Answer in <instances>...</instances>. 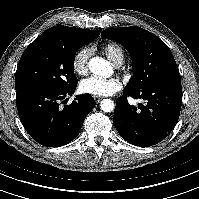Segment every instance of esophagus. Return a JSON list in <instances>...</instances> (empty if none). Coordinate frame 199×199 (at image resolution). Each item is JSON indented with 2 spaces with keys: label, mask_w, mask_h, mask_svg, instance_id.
Instances as JSON below:
<instances>
[{
  "label": "esophagus",
  "mask_w": 199,
  "mask_h": 199,
  "mask_svg": "<svg viewBox=\"0 0 199 199\" xmlns=\"http://www.w3.org/2000/svg\"><path fill=\"white\" fill-rule=\"evenodd\" d=\"M94 99H95V101H96L97 103H99V102L103 99V97L94 96Z\"/></svg>",
  "instance_id": "esophagus-1"
}]
</instances>
